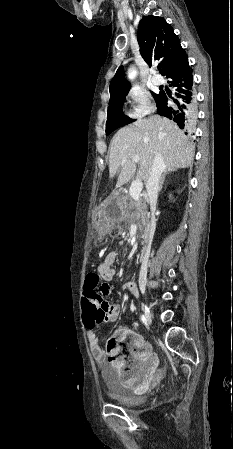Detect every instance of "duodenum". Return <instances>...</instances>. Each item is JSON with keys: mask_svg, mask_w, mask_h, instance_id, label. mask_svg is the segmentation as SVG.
<instances>
[{"mask_svg": "<svg viewBox=\"0 0 233 449\" xmlns=\"http://www.w3.org/2000/svg\"><path fill=\"white\" fill-rule=\"evenodd\" d=\"M138 258H139V260H141V261L146 260V258H147V253H146V251H144V250L140 251V252L138 253ZM138 289H139V288H138ZM138 291H139V290H138Z\"/></svg>", "mask_w": 233, "mask_h": 449, "instance_id": "410a0bca", "label": "duodenum"}]
</instances>
